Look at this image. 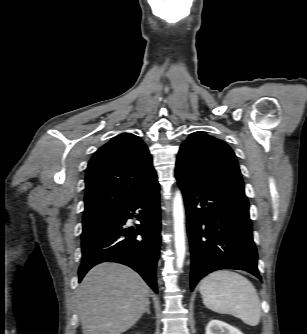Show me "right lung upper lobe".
Here are the masks:
<instances>
[{
    "mask_svg": "<svg viewBox=\"0 0 307 334\" xmlns=\"http://www.w3.org/2000/svg\"><path fill=\"white\" fill-rule=\"evenodd\" d=\"M85 183L83 217L113 214L158 181L147 146L138 136L122 133L93 155Z\"/></svg>",
    "mask_w": 307,
    "mask_h": 334,
    "instance_id": "obj_1",
    "label": "right lung upper lobe"
}]
</instances>
